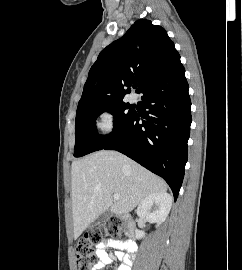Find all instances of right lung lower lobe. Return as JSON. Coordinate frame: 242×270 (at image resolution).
I'll return each instance as SVG.
<instances>
[{"label": "right lung lower lobe", "mask_w": 242, "mask_h": 270, "mask_svg": "<svg viewBox=\"0 0 242 270\" xmlns=\"http://www.w3.org/2000/svg\"><path fill=\"white\" fill-rule=\"evenodd\" d=\"M141 93L148 111L141 115L134 111L102 149L121 152L161 176L176 200L184 177L192 122L188 83L181 62L154 78ZM140 119H145L142 124Z\"/></svg>", "instance_id": "98d812e1"}]
</instances>
